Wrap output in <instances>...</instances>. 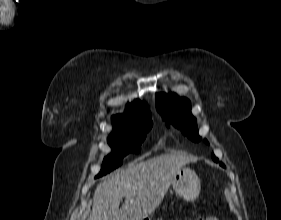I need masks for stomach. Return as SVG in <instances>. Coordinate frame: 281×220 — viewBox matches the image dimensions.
Wrapping results in <instances>:
<instances>
[{
	"label": "stomach",
	"mask_w": 281,
	"mask_h": 220,
	"mask_svg": "<svg viewBox=\"0 0 281 220\" xmlns=\"http://www.w3.org/2000/svg\"><path fill=\"white\" fill-rule=\"evenodd\" d=\"M172 186L175 192L186 201L196 199L201 189L197 174L189 168H182L176 173Z\"/></svg>",
	"instance_id": "1"
}]
</instances>
